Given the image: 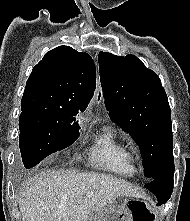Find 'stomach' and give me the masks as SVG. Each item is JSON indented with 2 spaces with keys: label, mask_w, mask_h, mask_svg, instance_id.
<instances>
[{
  "label": "stomach",
  "mask_w": 190,
  "mask_h": 221,
  "mask_svg": "<svg viewBox=\"0 0 190 221\" xmlns=\"http://www.w3.org/2000/svg\"><path fill=\"white\" fill-rule=\"evenodd\" d=\"M149 200H118V204L107 205L96 212L89 221H156Z\"/></svg>",
  "instance_id": "0dacf381"
}]
</instances>
